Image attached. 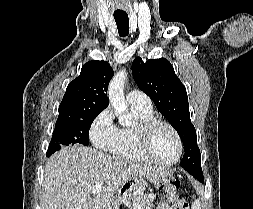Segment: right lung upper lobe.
I'll list each match as a JSON object with an SVG mask.
<instances>
[{"instance_id":"cb5924a9","label":"right lung upper lobe","mask_w":253,"mask_h":209,"mask_svg":"<svg viewBox=\"0 0 253 209\" xmlns=\"http://www.w3.org/2000/svg\"><path fill=\"white\" fill-rule=\"evenodd\" d=\"M113 75L114 71L106 61L85 63L80 75L66 89L57 122L103 111L109 105L107 88Z\"/></svg>"}]
</instances>
